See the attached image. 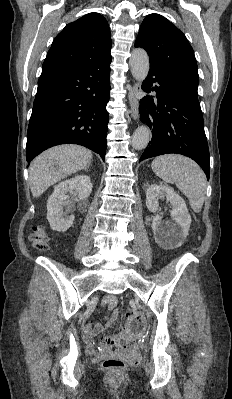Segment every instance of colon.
Wrapping results in <instances>:
<instances>
[{"instance_id":"obj_1","label":"colon","mask_w":232,"mask_h":399,"mask_svg":"<svg viewBox=\"0 0 232 399\" xmlns=\"http://www.w3.org/2000/svg\"><path fill=\"white\" fill-rule=\"evenodd\" d=\"M33 243L39 252H46L50 248L48 237L41 230L32 234ZM144 330L143 313H128L124 330H118L117 334H99V353H139V346L134 337H142ZM127 365L126 355H105L101 361V368H111V374H122Z\"/></svg>"}]
</instances>
